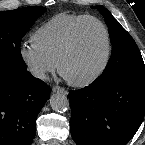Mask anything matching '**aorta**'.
Wrapping results in <instances>:
<instances>
[{
  "label": "aorta",
  "instance_id": "762f6f07",
  "mask_svg": "<svg viewBox=\"0 0 145 145\" xmlns=\"http://www.w3.org/2000/svg\"><path fill=\"white\" fill-rule=\"evenodd\" d=\"M50 105L56 112H65L69 109V99L63 93H56L50 97Z\"/></svg>",
  "mask_w": 145,
  "mask_h": 145
}]
</instances>
